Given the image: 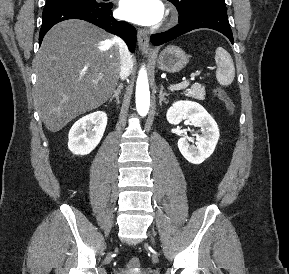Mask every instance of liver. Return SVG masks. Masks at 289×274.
<instances>
[{
  "label": "liver",
  "mask_w": 289,
  "mask_h": 274,
  "mask_svg": "<svg viewBox=\"0 0 289 274\" xmlns=\"http://www.w3.org/2000/svg\"><path fill=\"white\" fill-rule=\"evenodd\" d=\"M35 68V104L46 128L58 132L115 92L121 68L119 45L90 23L64 21L44 37Z\"/></svg>",
  "instance_id": "liver-1"
}]
</instances>
